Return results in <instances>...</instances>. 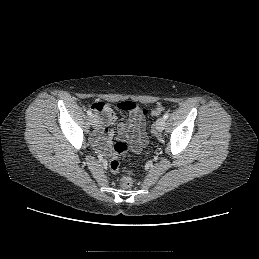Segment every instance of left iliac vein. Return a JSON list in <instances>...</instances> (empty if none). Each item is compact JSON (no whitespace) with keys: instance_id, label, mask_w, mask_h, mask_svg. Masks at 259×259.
<instances>
[{"instance_id":"4c4485c4","label":"left iliac vein","mask_w":259,"mask_h":259,"mask_svg":"<svg viewBox=\"0 0 259 259\" xmlns=\"http://www.w3.org/2000/svg\"><path fill=\"white\" fill-rule=\"evenodd\" d=\"M166 125V121L163 117L158 118V120L156 121V125L155 128L158 132H162L165 128Z\"/></svg>"}]
</instances>
